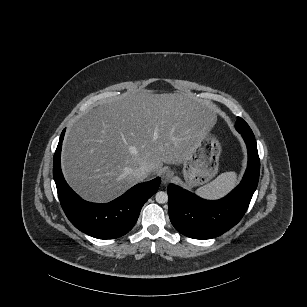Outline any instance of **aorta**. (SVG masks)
<instances>
[{
	"label": "aorta",
	"mask_w": 307,
	"mask_h": 307,
	"mask_svg": "<svg viewBox=\"0 0 307 307\" xmlns=\"http://www.w3.org/2000/svg\"><path fill=\"white\" fill-rule=\"evenodd\" d=\"M155 200L157 203H165L168 200V196L165 192L159 191L155 195Z\"/></svg>",
	"instance_id": "obj_1"
}]
</instances>
